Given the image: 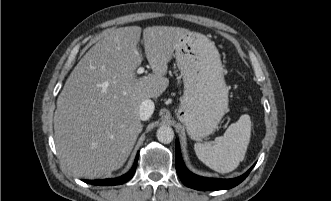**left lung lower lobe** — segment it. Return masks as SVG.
<instances>
[{
    "label": "left lung lower lobe",
    "instance_id": "obj_1",
    "mask_svg": "<svg viewBox=\"0 0 331 201\" xmlns=\"http://www.w3.org/2000/svg\"><path fill=\"white\" fill-rule=\"evenodd\" d=\"M175 167L181 181L190 188L202 191L230 189L240 184L253 169L254 165L242 176L233 179H214L197 176L191 173L183 163L179 142L176 141Z\"/></svg>",
    "mask_w": 331,
    "mask_h": 201
}]
</instances>
